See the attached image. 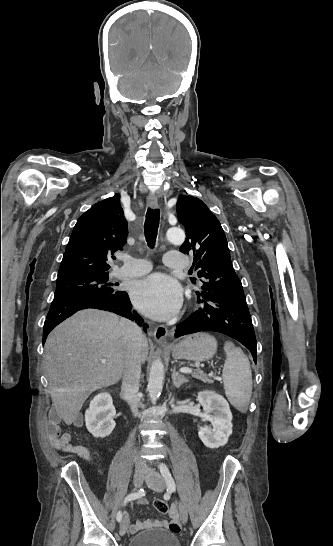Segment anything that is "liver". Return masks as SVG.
Masks as SVG:
<instances>
[{
	"instance_id": "1",
	"label": "liver",
	"mask_w": 333,
	"mask_h": 546,
	"mask_svg": "<svg viewBox=\"0 0 333 546\" xmlns=\"http://www.w3.org/2000/svg\"><path fill=\"white\" fill-rule=\"evenodd\" d=\"M127 344L117 315L78 311L58 325L45 343V372L53 405L72 424L91 392L117 383L125 368ZM148 355L144 336L141 363ZM106 359V363H101Z\"/></svg>"
}]
</instances>
